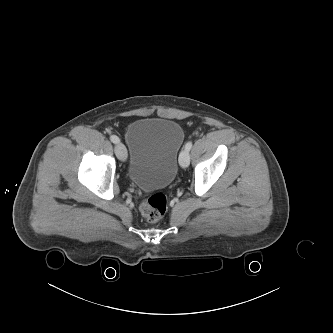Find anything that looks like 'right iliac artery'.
Listing matches in <instances>:
<instances>
[{
    "instance_id": "obj_1",
    "label": "right iliac artery",
    "mask_w": 333,
    "mask_h": 333,
    "mask_svg": "<svg viewBox=\"0 0 333 333\" xmlns=\"http://www.w3.org/2000/svg\"><path fill=\"white\" fill-rule=\"evenodd\" d=\"M110 140H111L113 143H118V142H120V139H119L116 135H111V136H110Z\"/></svg>"
}]
</instances>
